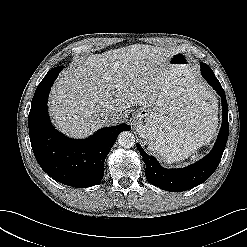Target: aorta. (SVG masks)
<instances>
[{
  "instance_id": "aorta-1",
  "label": "aorta",
  "mask_w": 247,
  "mask_h": 247,
  "mask_svg": "<svg viewBox=\"0 0 247 247\" xmlns=\"http://www.w3.org/2000/svg\"><path fill=\"white\" fill-rule=\"evenodd\" d=\"M118 144L124 148H131L135 144V136L130 131H124L118 136Z\"/></svg>"
}]
</instances>
